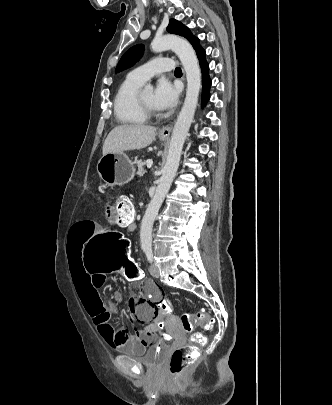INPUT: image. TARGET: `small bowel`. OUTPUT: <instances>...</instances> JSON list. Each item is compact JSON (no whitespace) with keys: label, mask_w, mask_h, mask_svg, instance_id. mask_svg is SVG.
I'll return each mask as SVG.
<instances>
[{"label":"small bowel","mask_w":332,"mask_h":405,"mask_svg":"<svg viewBox=\"0 0 332 405\" xmlns=\"http://www.w3.org/2000/svg\"><path fill=\"white\" fill-rule=\"evenodd\" d=\"M106 216L118 227L124 228L127 222H119V210L106 206ZM100 228L93 221H79L71 227L67 243V260L69 271L81 300V303L92 318V321L102 339L112 348L121 349L122 353H144L147 349H156L158 345L154 311H159L157 300L163 299V288H151L153 283L142 278L139 289H133V298L128 303V310L133 311L140 320V328H135V334L129 335L125 330H116L110 324V318L117 311L120 296L114 293L110 302L105 303L99 289L104 284L103 275H92L84 264L85 248L88 241L94 240L95 234H100ZM109 234H113L112 232ZM124 240H127L124 238ZM127 255H130L128 242ZM135 262V261H134Z\"/></svg>","instance_id":"c3829d8e"}]
</instances>
